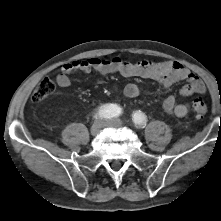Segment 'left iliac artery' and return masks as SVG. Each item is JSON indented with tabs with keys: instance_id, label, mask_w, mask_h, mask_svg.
<instances>
[{
	"instance_id": "44dca946",
	"label": "left iliac artery",
	"mask_w": 221,
	"mask_h": 221,
	"mask_svg": "<svg viewBox=\"0 0 221 221\" xmlns=\"http://www.w3.org/2000/svg\"><path fill=\"white\" fill-rule=\"evenodd\" d=\"M132 120L138 128H144L147 123L146 115L141 111H136L132 115Z\"/></svg>"
}]
</instances>
